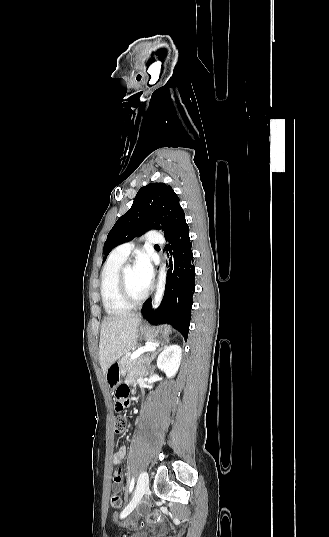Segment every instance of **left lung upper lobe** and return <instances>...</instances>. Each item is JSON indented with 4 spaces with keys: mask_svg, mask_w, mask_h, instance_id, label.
Instances as JSON below:
<instances>
[{
    "mask_svg": "<svg viewBox=\"0 0 329 537\" xmlns=\"http://www.w3.org/2000/svg\"><path fill=\"white\" fill-rule=\"evenodd\" d=\"M184 222V211L172 187L164 183L148 184L138 191L130 210L117 220L109 232L103 253L106 257L116 246L148 230L159 229L158 224H162L169 240Z\"/></svg>",
    "mask_w": 329,
    "mask_h": 537,
    "instance_id": "left-lung-upper-lobe-1",
    "label": "left lung upper lobe"
}]
</instances>
